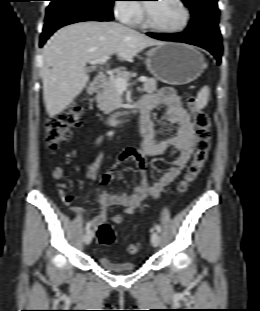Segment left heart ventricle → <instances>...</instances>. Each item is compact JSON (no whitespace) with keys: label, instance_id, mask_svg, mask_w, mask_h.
<instances>
[{"label":"left heart ventricle","instance_id":"obj_1","mask_svg":"<svg viewBox=\"0 0 260 311\" xmlns=\"http://www.w3.org/2000/svg\"><path fill=\"white\" fill-rule=\"evenodd\" d=\"M152 21L163 28H175L182 24L184 12L175 0H158L148 3Z\"/></svg>","mask_w":260,"mask_h":311}]
</instances>
